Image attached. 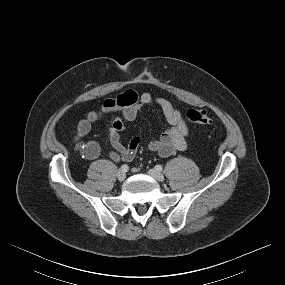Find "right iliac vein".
<instances>
[{
	"label": "right iliac vein",
	"instance_id": "63e3f726",
	"mask_svg": "<svg viewBox=\"0 0 285 285\" xmlns=\"http://www.w3.org/2000/svg\"><path fill=\"white\" fill-rule=\"evenodd\" d=\"M125 178H126V173L120 170V171L117 173V179H118L119 181H124Z\"/></svg>",
	"mask_w": 285,
	"mask_h": 285
}]
</instances>
